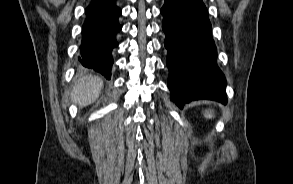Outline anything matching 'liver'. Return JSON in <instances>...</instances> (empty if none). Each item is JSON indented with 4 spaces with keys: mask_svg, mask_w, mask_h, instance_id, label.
<instances>
[{
    "mask_svg": "<svg viewBox=\"0 0 293 184\" xmlns=\"http://www.w3.org/2000/svg\"><path fill=\"white\" fill-rule=\"evenodd\" d=\"M103 87V81L97 76H82L73 86L71 92L72 101L80 107L87 106L95 101Z\"/></svg>",
    "mask_w": 293,
    "mask_h": 184,
    "instance_id": "liver-1",
    "label": "liver"
}]
</instances>
